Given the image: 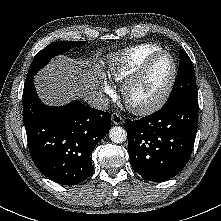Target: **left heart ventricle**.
Segmentation results:
<instances>
[{
    "label": "left heart ventricle",
    "instance_id": "left-heart-ventricle-1",
    "mask_svg": "<svg viewBox=\"0 0 221 221\" xmlns=\"http://www.w3.org/2000/svg\"><path fill=\"white\" fill-rule=\"evenodd\" d=\"M173 64L168 56L158 58L131 88L128 99L132 105H143L159 96L168 83Z\"/></svg>",
    "mask_w": 221,
    "mask_h": 221
}]
</instances>
